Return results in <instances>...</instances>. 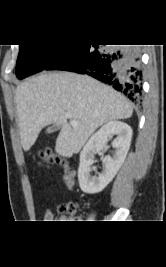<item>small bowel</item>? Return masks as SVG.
Segmentation results:
<instances>
[{
  "mask_svg": "<svg viewBox=\"0 0 166 267\" xmlns=\"http://www.w3.org/2000/svg\"><path fill=\"white\" fill-rule=\"evenodd\" d=\"M74 181L68 184L69 187H73ZM44 222H53L55 219L54 214L51 210L47 209L44 213Z\"/></svg>",
  "mask_w": 166,
  "mask_h": 267,
  "instance_id": "1",
  "label": "small bowel"
}]
</instances>
